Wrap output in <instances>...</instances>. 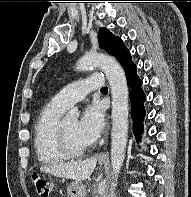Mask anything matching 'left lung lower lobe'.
<instances>
[{
	"instance_id": "0a47b994",
	"label": "left lung lower lobe",
	"mask_w": 191,
	"mask_h": 197,
	"mask_svg": "<svg viewBox=\"0 0 191 197\" xmlns=\"http://www.w3.org/2000/svg\"><path fill=\"white\" fill-rule=\"evenodd\" d=\"M126 72L128 84L132 89L130 93L131 106H132V118H133V132L136 136V140H140V133L143 130V119L145 116V109L143 102L145 101V94L141 89L142 81L136 75V66L129 68Z\"/></svg>"
}]
</instances>
